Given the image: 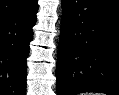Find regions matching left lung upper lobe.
Segmentation results:
<instances>
[{
	"label": "left lung upper lobe",
	"mask_w": 119,
	"mask_h": 95,
	"mask_svg": "<svg viewBox=\"0 0 119 95\" xmlns=\"http://www.w3.org/2000/svg\"><path fill=\"white\" fill-rule=\"evenodd\" d=\"M107 1L119 4V0H107Z\"/></svg>",
	"instance_id": "left-lung-upper-lobe-1"
}]
</instances>
